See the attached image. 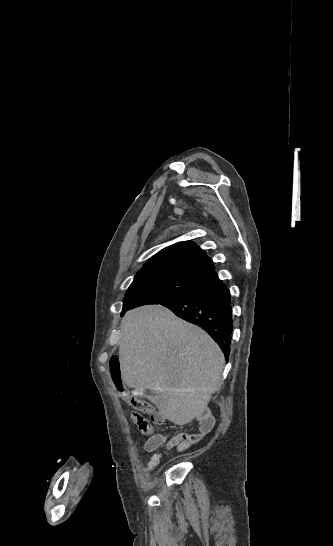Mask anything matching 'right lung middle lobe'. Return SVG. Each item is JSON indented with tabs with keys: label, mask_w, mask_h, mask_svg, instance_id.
<instances>
[{
	"label": "right lung middle lobe",
	"mask_w": 333,
	"mask_h": 546,
	"mask_svg": "<svg viewBox=\"0 0 333 546\" xmlns=\"http://www.w3.org/2000/svg\"><path fill=\"white\" fill-rule=\"evenodd\" d=\"M202 280L170 274H137L123 300V313L129 309L168 301L197 288Z\"/></svg>",
	"instance_id": "1"
}]
</instances>
